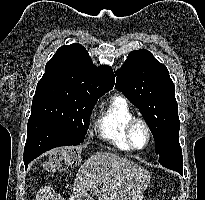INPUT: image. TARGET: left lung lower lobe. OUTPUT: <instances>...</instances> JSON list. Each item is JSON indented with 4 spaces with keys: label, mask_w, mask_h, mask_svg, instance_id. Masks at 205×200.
Here are the masks:
<instances>
[{
    "label": "left lung lower lobe",
    "mask_w": 205,
    "mask_h": 200,
    "mask_svg": "<svg viewBox=\"0 0 205 200\" xmlns=\"http://www.w3.org/2000/svg\"><path fill=\"white\" fill-rule=\"evenodd\" d=\"M179 128L180 121L171 128L167 149L158 155V161L164 167L183 174V158L178 139Z\"/></svg>",
    "instance_id": "obj_1"
}]
</instances>
